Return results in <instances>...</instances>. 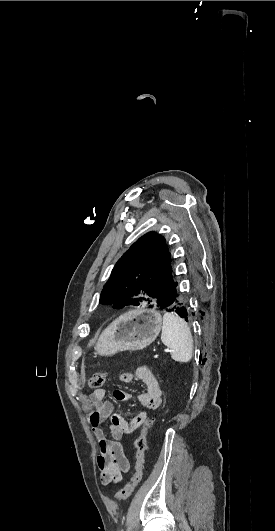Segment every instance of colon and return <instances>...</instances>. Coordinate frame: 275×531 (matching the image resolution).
<instances>
[{
	"instance_id": "1",
	"label": "colon",
	"mask_w": 275,
	"mask_h": 531,
	"mask_svg": "<svg viewBox=\"0 0 275 531\" xmlns=\"http://www.w3.org/2000/svg\"><path fill=\"white\" fill-rule=\"evenodd\" d=\"M106 371L100 370L93 374L90 381V389L98 390L103 388L106 382ZM156 415L150 416L143 424V428L140 432V435L136 439V462H135V472L131 477V480L115 494V500L117 502L126 501L141 481L142 473L144 469L145 462V449H146V437L151 433V430L156 425Z\"/></svg>"
}]
</instances>
